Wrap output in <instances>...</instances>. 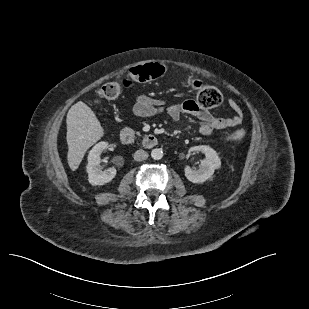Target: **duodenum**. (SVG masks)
Segmentation results:
<instances>
[{
  "label": "duodenum",
  "mask_w": 309,
  "mask_h": 309,
  "mask_svg": "<svg viewBox=\"0 0 309 309\" xmlns=\"http://www.w3.org/2000/svg\"><path fill=\"white\" fill-rule=\"evenodd\" d=\"M119 138L122 143L128 145L134 142L135 133L131 128L125 127L120 130ZM142 144L146 148H153L158 144V138L152 134L146 135L142 140Z\"/></svg>",
  "instance_id": "duodenum-1"
}]
</instances>
